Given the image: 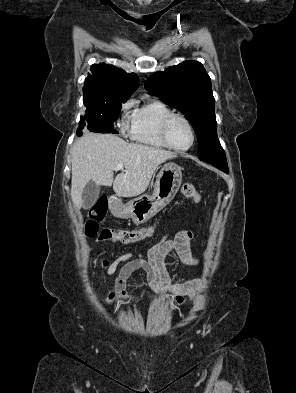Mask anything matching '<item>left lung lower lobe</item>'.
<instances>
[{"mask_svg": "<svg viewBox=\"0 0 296 393\" xmlns=\"http://www.w3.org/2000/svg\"><path fill=\"white\" fill-rule=\"evenodd\" d=\"M212 165L218 167L220 170L224 171L225 173H229L227 165H221V164H212Z\"/></svg>", "mask_w": 296, "mask_h": 393, "instance_id": "1", "label": "left lung lower lobe"}]
</instances>
